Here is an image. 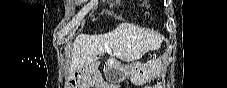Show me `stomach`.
<instances>
[{"label":"stomach","mask_w":227,"mask_h":88,"mask_svg":"<svg viewBox=\"0 0 227 88\" xmlns=\"http://www.w3.org/2000/svg\"><path fill=\"white\" fill-rule=\"evenodd\" d=\"M163 71L161 57L147 64L132 63L123 65L119 60L110 58L106 63V75L110 82L120 83L129 78L134 85H143L160 75Z\"/></svg>","instance_id":"stomach-1"}]
</instances>
